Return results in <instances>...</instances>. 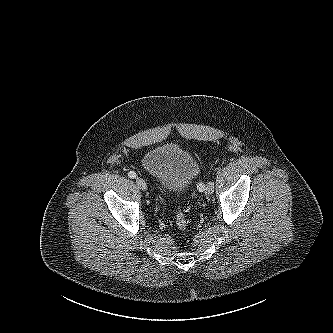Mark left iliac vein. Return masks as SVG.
<instances>
[{"label":"left iliac vein","instance_id":"4c4485c4","mask_svg":"<svg viewBox=\"0 0 333 333\" xmlns=\"http://www.w3.org/2000/svg\"><path fill=\"white\" fill-rule=\"evenodd\" d=\"M213 189H214L213 182H209L208 185L205 188V194L208 195V196L212 195V193L214 191Z\"/></svg>","mask_w":333,"mask_h":333}]
</instances>
